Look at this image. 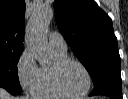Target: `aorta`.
<instances>
[{
    "instance_id": "obj_1",
    "label": "aorta",
    "mask_w": 128,
    "mask_h": 99,
    "mask_svg": "<svg viewBox=\"0 0 128 99\" xmlns=\"http://www.w3.org/2000/svg\"><path fill=\"white\" fill-rule=\"evenodd\" d=\"M52 18V9L43 6L35 10L27 25L25 37L26 46L33 52L36 60L41 65L49 64L51 61L45 30Z\"/></svg>"
}]
</instances>
